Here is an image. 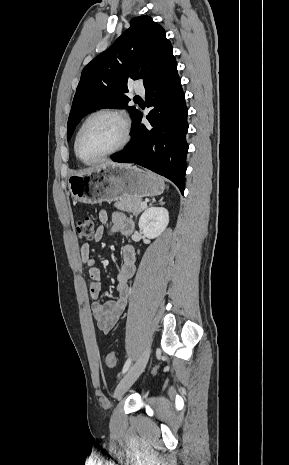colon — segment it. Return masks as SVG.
<instances>
[{
    "label": "colon",
    "instance_id": "obj_1",
    "mask_svg": "<svg viewBox=\"0 0 289 465\" xmlns=\"http://www.w3.org/2000/svg\"><path fill=\"white\" fill-rule=\"evenodd\" d=\"M76 231L80 238L92 240L95 236L94 219L89 215L81 218L76 224ZM105 362L108 367H115L117 365L116 355L113 352L106 354Z\"/></svg>",
    "mask_w": 289,
    "mask_h": 465
}]
</instances>
